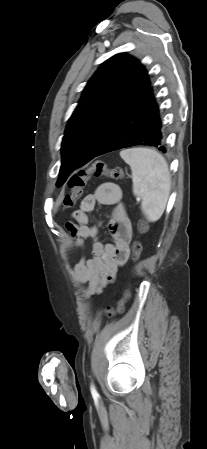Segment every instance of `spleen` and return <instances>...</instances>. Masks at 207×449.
Here are the masks:
<instances>
[{"label":"spleen","mask_w":207,"mask_h":449,"mask_svg":"<svg viewBox=\"0 0 207 449\" xmlns=\"http://www.w3.org/2000/svg\"><path fill=\"white\" fill-rule=\"evenodd\" d=\"M130 165L133 193L142 198L141 209L149 222L163 214L171 188V176L165 158L149 148H130L120 152Z\"/></svg>","instance_id":"3e777b00"}]
</instances>
